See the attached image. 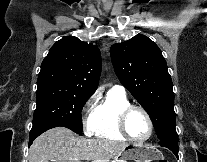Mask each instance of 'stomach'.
Here are the masks:
<instances>
[{"label": "stomach", "mask_w": 207, "mask_h": 162, "mask_svg": "<svg viewBox=\"0 0 207 162\" xmlns=\"http://www.w3.org/2000/svg\"><path fill=\"white\" fill-rule=\"evenodd\" d=\"M132 160L134 162H152L153 160H164V157L157 149L144 145H128L122 151L115 161L112 162H127Z\"/></svg>", "instance_id": "stomach-1"}]
</instances>
